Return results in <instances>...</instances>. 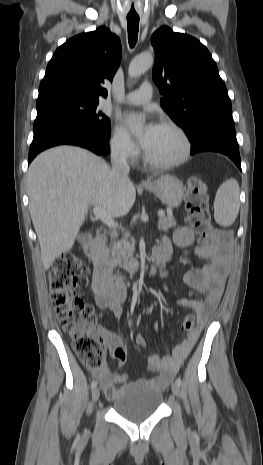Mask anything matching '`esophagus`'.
Listing matches in <instances>:
<instances>
[{
    "label": "esophagus",
    "instance_id": "obj_1",
    "mask_svg": "<svg viewBox=\"0 0 263 465\" xmlns=\"http://www.w3.org/2000/svg\"><path fill=\"white\" fill-rule=\"evenodd\" d=\"M147 183H148V181H146V180L141 181V184H147Z\"/></svg>",
    "mask_w": 263,
    "mask_h": 465
}]
</instances>
